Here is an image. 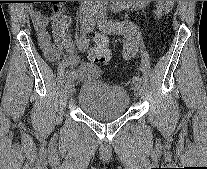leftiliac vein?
Segmentation results:
<instances>
[{"label":"left iliac vein","mask_w":207,"mask_h":169,"mask_svg":"<svg viewBox=\"0 0 207 169\" xmlns=\"http://www.w3.org/2000/svg\"><path fill=\"white\" fill-rule=\"evenodd\" d=\"M92 28H93V23L91 24V28H90V29L92 30ZM133 90H134V94H135L137 97H140V96H141V94H142V89H141L140 84L134 85Z\"/></svg>","instance_id":"left-iliac-vein-1"}]
</instances>
